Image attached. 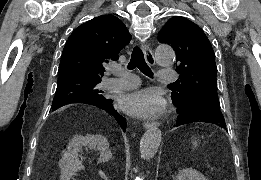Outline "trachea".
<instances>
[{"mask_svg": "<svg viewBox=\"0 0 261 180\" xmlns=\"http://www.w3.org/2000/svg\"><path fill=\"white\" fill-rule=\"evenodd\" d=\"M136 67L139 68L140 72L144 73L147 77L153 78V72L145 62L143 52L139 46L134 47L127 68L133 70Z\"/></svg>", "mask_w": 261, "mask_h": 180, "instance_id": "1", "label": "trachea"}]
</instances>
